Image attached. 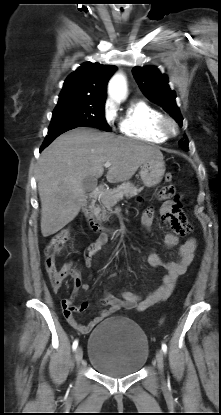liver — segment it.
I'll list each match as a JSON object with an SVG mask.
<instances>
[{"label": "liver", "mask_w": 221, "mask_h": 415, "mask_svg": "<svg viewBox=\"0 0 221 415\" xmlns=\"http://www.w3.org/2000/svg\"><path fill=\"white\" fill-rule=\"evenodd\" d=\"M152 158L163 159L158 148L92 128L80 127L59 136L38 161L43 237L74 220L86 198L83 179L101 177L105 162L111 163L107 181L118 183L131 179Z\"/></svg>", "instance_id": "liver-1"}]
</instances>
